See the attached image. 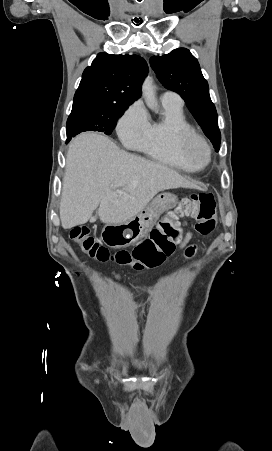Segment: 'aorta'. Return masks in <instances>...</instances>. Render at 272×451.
<instances>
[{
	"label": "aorta",
	"mask_w": 272,
	"mask_h": 451,
	"mask_svg": "<svg viewBox=\"0 0 272 451\" xmlns=\"http://www.w3.org/2000/svg\"><path fill=\"white\" fill-rule=\"evenodd\" d=\"M142 94L146 102V106H148L150 110H153V112H157L158 100L156 98V90L153 84V78H150V76H148V78H146V80H144L143 82Z\"/></svg>",
	"instance_id": "762f6f07"
}]
</instances>
